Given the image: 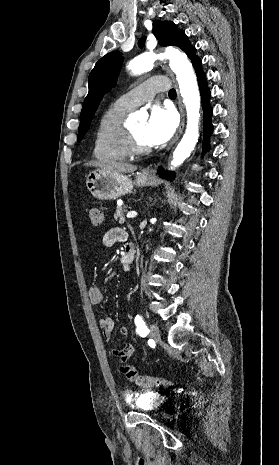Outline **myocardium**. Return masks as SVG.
Here are the masks:
<instances>
[{"instance_id": "1", "label": "myocardium", "mask_w": 279, "mask_h": 465, "mask_svg": "<svg viewBox=\"0 0 279 465\" xmlns=\"http://www.w3.org/2000/svg\"><path fill=\"white\" fill-rule=\"evenodd\" d=\"M124 146L129 155L141 156L151 152V147H142L138 144L130 127L125 129Z\"/></svg>"}]
</instances>
